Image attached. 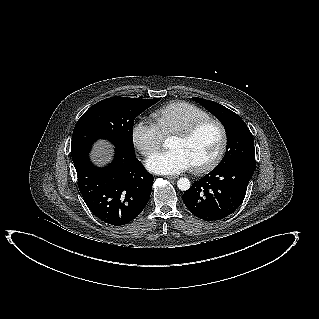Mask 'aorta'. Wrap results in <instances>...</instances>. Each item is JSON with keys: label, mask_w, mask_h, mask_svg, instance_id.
I'll list each match as a JSON object with an SVG mask.
<instances>
[{"label": "aorta", "mask_w": 319, "mask_h": 319, "mask_svg": "<svg viewBox=\"0 0 319 319\" xmlns=\"http://www.w3.org/2000/svg\"><path fill=\"white\" fill-rule=\"evenodd\" d=\"M177 186L180 190L186 191L190 188L191 184L188 178H180L177 181Z\"/></svg>", "instance_id": "1"}]
</instances>
